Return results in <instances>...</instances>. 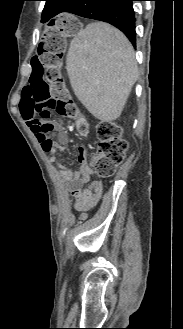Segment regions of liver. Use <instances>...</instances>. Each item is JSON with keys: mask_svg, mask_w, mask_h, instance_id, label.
<instances>
[{"mask_svg": "<svg viewBox=\"0 0 183 329\" xmlns=\"http://www.w3.org/2000/svg\"><path fill=\"white\" fill-rule=\"evenodd\" d=\"M66 69L76 97L103 122L121 115L138 77L133 46L103 22L88 24L73 37Z\"/></svg>", "mask_w": 183, "mask_h": 329, "instance_id": "liver-1", "label": "liver"}]
</instances>
